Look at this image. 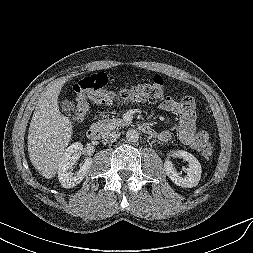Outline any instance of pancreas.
<instances>
[{
    "label": "pancreas",
    "instance_id": "obj_1",
    "mask_svg": "<svg viewBox=\"0 0 253 253\" xmlns=\"http://www.w3.org/2000/svg\"><path fill=\"white\" fill-rule=\"evenodd\" d=\"M98 126L100 132L102 134L111 131L115 128L121 127V126H126L128 125V122L124 121L123 119L119 118H112V119H102L99 122L96 123Z\"/></svg>",
    "mask_w": 253,
    "mask_h": 253
}]
</instances>
